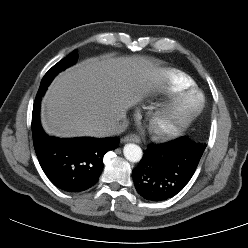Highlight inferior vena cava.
Instances as JSON below:
<instances>
[{
	"instance_id": "1",
	"label": "inferior vena cava",
	"mask_w": 248,
	"mask_h": 248,
	"mask_svg": "<svg viewBox=\"0 0 248 248\" xmlns=\"http://www.w3.org/2000/svg\"><path fill=\"white\" fill-rule=\"evenodd\" d=\"M128 126V121L126 117L123 116L122 122L113 123L110 127L106 129V136L118 135L125 131Z\"/></svg>"
}]
</instances>
